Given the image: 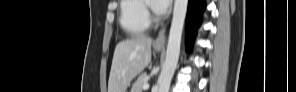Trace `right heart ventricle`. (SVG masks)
Masks as SVG:
<instances>
[{
	"instance_id": "1",
	"label": "right heart ventricle",
	"mask_w": 296,
	"mask_h": 92,
	"mask_svg": "<svg viewBox=\"0 0 296 92\" xmlns=\"http://www.w3.org/2000/svg\"><path fill=\"white\" fill-rule=\"evenodd\" d=\"M119 21L122 29L131 36L143 34L149 27L146 2L123 0L120 3Z\"/></svg>"
}]
</instances>
